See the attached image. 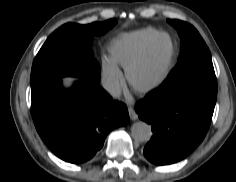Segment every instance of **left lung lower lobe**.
<instances>
[{
	"label": "left lung lower lobe",
	"instance_id": "obj_1",
	"mask_svg": "<svg viewBox=\"0 0 236 182\" xmlns=\"http://www.w3.org/2000/svg\"><path fill=\"white\" fill-rule=\"evenodd\" d=\"M216 100L193 94L167 97L154 92L135 110L153 132L144 156L153 164L167 165L187 157L204 139Z\"/></svg>",
	"mask_w": 236,
	"mask_h": 182
}]
</instances>
